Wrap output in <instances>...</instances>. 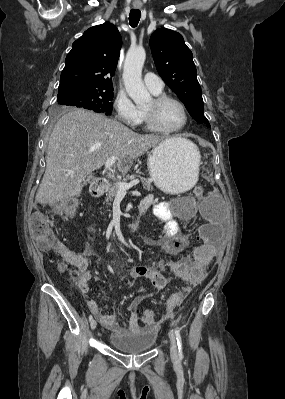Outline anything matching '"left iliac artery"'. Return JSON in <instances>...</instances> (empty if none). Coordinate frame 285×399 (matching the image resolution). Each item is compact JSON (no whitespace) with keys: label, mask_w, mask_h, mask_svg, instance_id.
Wrapping results in <instances>:
<instances>
[{"label":"left iliac artery","mask_w":285,"mask_h":399,"mask_svg":"<svg viewBox=\"0 0 285 399\" xmlns=\"http://www.w3.org/2000/svg\"><path fill=\"white\" fill-rule=\"evenodd\" d=\"M174 333L176 335V340H177V345H178V354H179V356H182V353H183L182 352V338L180 335V331L177 328H175Z\"/></svg>","instance_id":"1"}]
</instances>
